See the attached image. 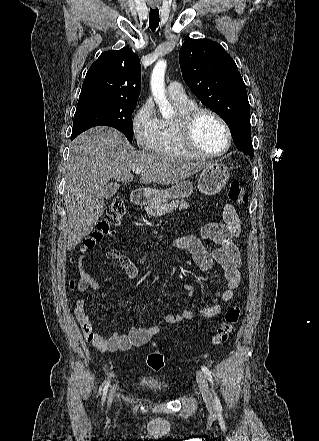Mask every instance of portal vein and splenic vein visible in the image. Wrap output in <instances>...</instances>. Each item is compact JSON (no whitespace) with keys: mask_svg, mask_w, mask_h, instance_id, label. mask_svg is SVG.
Masks as SVG:
<instances>
[{"mask_svg":"<svg viewBox=\"0 0 319 441\" xmlns=\"http://www.w3.org/2000/svg\"><path fill=\"white\" fill-rule=\"evenodd\" d=\"M133 171H134L136 174H141V173L143 172V170L140 169V168H135Z\"/></svg>","mask_w":319,"mask_h":441,"instance_id":"1","label":"portal vein and splenic vein"}]
</instances>
